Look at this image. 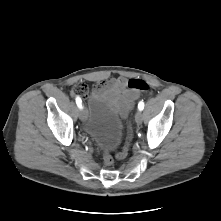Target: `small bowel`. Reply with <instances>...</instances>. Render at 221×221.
Returning a JSON list of instances; mask_svg holds the SVG:
<instances>
[{"label":"small bowel","instance_id":"1","mask_svg":"<svg viewBox=\"0 0 221 221\" xmlns=\"http://www.w3.org/2000/svg\"><path fill=\"white\" fill-rule=\"evenodd\" d=\"M95 92L109 95L123 117L128 114L133 102L138 98L137 92L128 87V81L124 77L100 82Z\"/></svg>","mask_w":221,"mask_h":221}]
</instances>
